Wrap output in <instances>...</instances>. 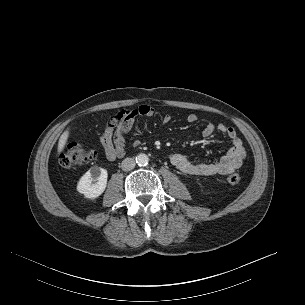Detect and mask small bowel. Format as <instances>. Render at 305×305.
Masks as SVG:
<instances>
[{
  "label": "small bowel",
  "mask_w": 305,
  "mask_h": 305,
  "mask_svg": "<svg viewBox=\"0 0 305 305\" xmlns=\"http://www.w3.org/2000/svg\"><path fill=\"white\" fill-rule=\"evenodd\" d=\"M154 115V109L145 104L115 113L110 121L116 124V128L113 129L110 125H107L100 135V143L105 157L108 160L123 157L126 152L125 137L133 127L135 119L138 117L150 118ZM171 120L172 116L165 114L162 117L163 126L168 125ZM187 121L189 123L201 121L203 123L201 134L204 138L210 137L215 131L226 135L231 141V147L220 160L212 163H197L189 160L181 153H172L169 159L177 170L187 175L214 176L227 175L241 168L246 159V149L233 127L215 124L210 120L200 118L196 114H190Z\"/></svg>",
  "instance_id": "small-bowel-1"
}]
</instances>
